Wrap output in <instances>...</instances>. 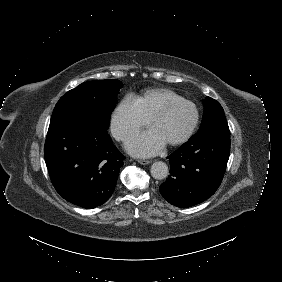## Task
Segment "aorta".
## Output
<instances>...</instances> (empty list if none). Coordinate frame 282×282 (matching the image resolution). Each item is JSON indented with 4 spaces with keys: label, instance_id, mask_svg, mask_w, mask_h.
Instances as JSON below:
<instances>
[{
    "label": "aorta",
    "instance_id": "obj_1",
    "mask_svg": "<svg viewBox=\"0 0 282 282\" xmlns=\"http://www.w3.org/2000/svg\"><path fill=\"white\" fill-rule=\"evenodd\" d=\"M151 175L153 178L161 180L168 176V166L163 161H155L151 165Z\"/></svg>",
    "mask_w": 282,
    "mask_h": 282
}]
</instances>
